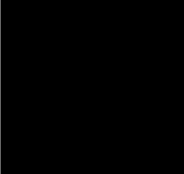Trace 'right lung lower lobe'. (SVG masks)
<instances>
[{"label": "right lung lower lobe", "mask_w": 184, "mask_h": 174, "mask_svg": "<svg viewBox=\"0 0 184 174\" xmlns=\"http://www.w3.org/2000/svg\"><path fill=\"white\" fill-rule=\"evenodd\" d=\"M77 118L73 117L54 130H43L34 133L35 138L42 144L54 149L68 146L75 136Z\"/></svg>", "instance_id": "right-lung-lower-lobe-1"}]
</instances>
